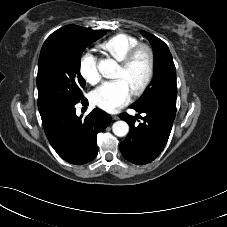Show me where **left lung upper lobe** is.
Here are the masks:
<instances>
[{
	"mask_svg": "<svg viewBox=\"0 0 227 227\" xmlns=\"http://www.w3.org/2000/svg\"><path fill=\"white\" fill-rule=\"evenodd\" d=\"M150 41L155 56V76L151 88L147 87L144 94L130 108L141 110L149 106H161L176 111V70L168 46L156 36L142 31Z\"/></svg>",
	"mask_w": 227,
	"mask_h": 227,
	"instance_id": "left-lung-upper-lobe-1",
	"label": "left lung upper lobe"
}]
</instances>
